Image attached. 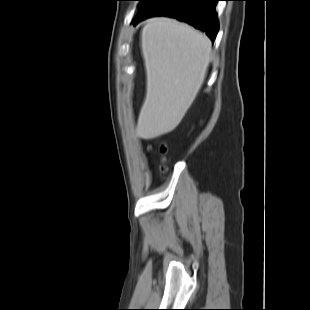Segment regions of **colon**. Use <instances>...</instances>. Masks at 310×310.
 Instances as JSON below:
<instances>
[{"label": "colon", "mask_w": 310, "mask_h": 310, "mask_svg": "<svg viewBox=\"0 0 310 310\" xmlns=\"http://www.w3.org/2000/svg\"><path fill=\"white\" fill-rule=\"evenodd\" d=\"M159 151H160L162 154L166 153V151H167L166 145H161V146L159 147ZM161 170H165V167L162 166V167H161Z\"/></svg>", "instance_id": "obj_1"}]
</instances>
